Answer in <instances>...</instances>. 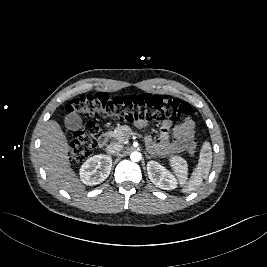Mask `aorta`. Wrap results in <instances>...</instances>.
Segmentation results:
<instances>
[{"label":"aorta","instance_id":"obj_1","mask_svg":"<svg viewBox=\"0 0 267 267\" xmlns=\"http://www.w3.org/2000/svg\"><path fill=\"white\" fill-rule=\"evenodd\" d=\"M141 158H142V155H141L140 152L135 151V152H132V153L130 154V159H131L133 162H138V161L141 160Z\"/></svg>","mask_w":267,"mask_h":267}]
</instances>
